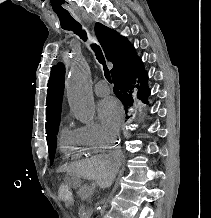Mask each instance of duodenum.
<instances>
[{
	"label": "duodenum",
	"mask_w": 211,
	"mask_h": 218,
	"mask_svg": "<svg viewBox=\"0 0 211 218\" xmlns=\"http://www.w3.org/2000/svg\"><path fill=\"white\" fill-rule=\"evenodd\" d=\"M93 215V210L92 209H86L85 210V217L86 218H91V216Z\"/></svg>",
	"instance_id": "1"
}]
</instances>
